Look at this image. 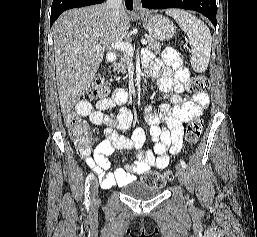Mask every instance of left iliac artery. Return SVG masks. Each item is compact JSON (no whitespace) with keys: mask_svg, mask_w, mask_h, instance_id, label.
Segmentation results:
<instances>
[{"mask_svg":"<svg viewBox=\"0 0 257 237\" xmlns=\"http://www.w3.org/2000/svg\"><path fill=\"white\" fill-rule=\"evenodd\" d=\"M180 164H181V166L184 168V169H186L187 168V164L185 163V161L184 160H180Z\"/></svg>","mask_w":257,"mask_h":237,"instance_id":"1","label":"left iliac artery"}]
</instances>
